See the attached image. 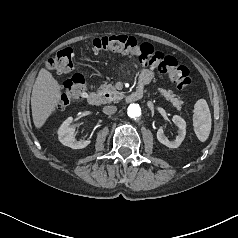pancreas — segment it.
Masks as SVG:
<instances>
[{"mask_svg": "<svg viewBox=\"0 0 238 238\" xmlns=\"http://www.w3.org/2000/svg\"><path fill=\"white\" fill-rule=\"evenodd\" d=\"M98 92L101 95L109 94V101L117 102L124 97L122 92L116 90L112 84H103L99 87ZM158 92L169 101L178 111L182 109L183 101L176 97L172 90L158 88Z\"/></svg>", "mask_w": 238, "mask_h": 238, "instance_id": "pancreas-1", "label": "pancreas"}]
</instances>
